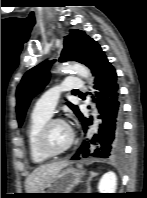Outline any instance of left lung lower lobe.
<instances>
[{"label": "left lung lower lobe", "mask_w": 147, "mask_h": 198, "mask_svg": "<svg viewBox=\"0 0 147 198\" xmlns=\"http://www.w3.org/2000/svg\"><path fill=\"white\" fill-rule=\"evenodd\" d=\"M86 66L91 69L95 76V89L97 97V107L101 114V125L97 135L91 140L94 144L98 142L100 148L96 149L91 156L115 159L123 153V116L122 108L119 102V87L117 84V74L114 67L109 63L107 57L102 51L100 45L94 41L91 45ZM82 122L84 132L87 131L91 119L78 114ZM84 157L89 155V143L85 142L72 158L79 159V154Z\"/></svg>", "instance_id": "left-lung-lower-lobe-1"}]
</instances>
